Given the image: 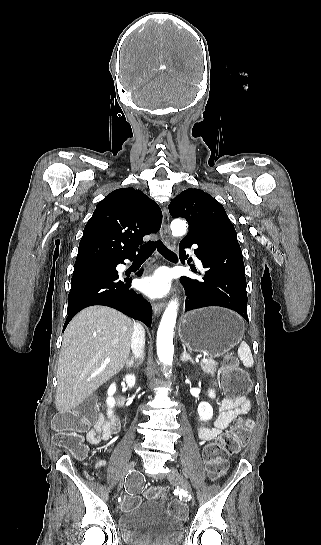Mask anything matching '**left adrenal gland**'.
Wrapping results in <instances>:
<instances>
[{
  "mask_svg": "<svg viewBox=\"0 0 321 545\" xmlns=\"http://www.w3.org/2000/svg\"><path fill=\"white\" fill-rule=\"evenodd\" d=\"M180 361H182V363H185V361H191V363H193L194 365V361L193 359H191L190 355H188V353H186V349L184 347V351L180 357Z\"/></svg>",
  "mask_w": 321,
  "mask_h": 545,
  "instance_id": "left-adrenal-gland-1",
  "label": "left adrenal gland"
}]
</instances>
